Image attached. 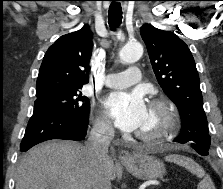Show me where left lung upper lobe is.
Returning <instances> with one entry per match:
<instances>
[{"label": "left lung upper lobe", "instance_id": "obj_1", "mask_svg": "<svg viewBox=\"0 0 223 189\" xmlns=\"http://www.w3.org/2000/svg\"><path fill=\"white\" fill-rule=\"evenodd\" d=\"M141 37L158 83L180 113L182 129L175 141L190 142L193 148L208 152L211 139L199 75L190 49L176 34L151 24L142 26Z\"/></svg>", "mask_w": 223, "mask_h": 189}]
</instances>
